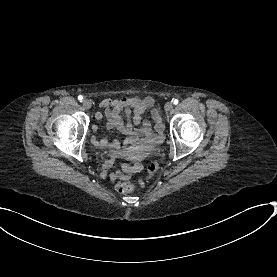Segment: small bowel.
I'll return each instance as SVG.
<instances>
[{
    "label": "small bowel",
    "mask_w": 277,
    "mask_h": 277,
    "mask_svg": "<svg viewBox=\"0 0 277 277\" xmlns=\"http://www.w3.org/2000/svg\"><path fill=\"white\" fill-rule=\"evenodd\" d=\"M101 107L106 109V128L117 129L132 142L145 140L149 143H156L160 139V135L164 129V123L161 111L155 100L151 96L145 97H128L122 99H106L101 102ZM146 111H150L154 121V129L148 120H143L142 116ZM96 118L100 120L101 114H97ZM133 126H137L133 128ZM94 143L98 147L108 148L112 150V155L107 159L104 168L109 170L113 167L118 159L121 146L118 141H107L104 139L95 140ZM136 166H124L125 173H134L137 171ZM124 174L121 172L111 173V180L118 181L124 179Z\"/></svg>",
    "instance_id": "1"
}]
</instances>
